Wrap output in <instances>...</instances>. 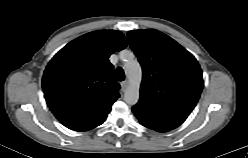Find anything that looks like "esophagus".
Returning a JSON list of instances; mask_svg holds the SVG:
<instances>
[{
  "mask_svg": "<svg viewBox=\"0 0 248 158\" xmlns=\"http://www.w3.org/2000/svg\"><path fill=\"white\" fill-rule=\"evenodd\" d=\"M120 85H121V90L124 92L128 87V81L125 80V81L121 82Z\"/></svg>",
  "mask_w": 248,
  "mask_h": 158,
  "instance_id": "obj_1",
  "label": "esophagus"
}]
</instances>
